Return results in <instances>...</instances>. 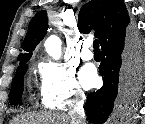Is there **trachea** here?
I'll return each mask as SVG.
<instances>
[{
  "instance_id": "3493384b",
  "label": "trachea",
  "mask_w": 145,
  "mask_h": 124,
  "mask_svg": "<svg viewBox=\"0 0 145 124\" xmlns=\"http://www.w3.org/2000/svg\"><path fill=\"white\" fill-rule=\"evenodd\" d=\"M94 51H100L99 49V40L95 39L93 42Z\"/></svg>"
}]
</instances>
